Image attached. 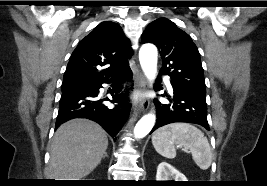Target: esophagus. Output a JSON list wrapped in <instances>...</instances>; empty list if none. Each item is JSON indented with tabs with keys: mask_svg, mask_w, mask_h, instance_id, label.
<instances>
[{
	"mask_svg": "<svg viewBox=\"0 0 267 186\" xmlns=\"http://www.w3.org/2000/svg\"><path fill=\"white\" fill-rule=\"evenodd\" d=\"M147 85L148 83L146 77L140 72L138 74L137 82L135 85L136 91L139 92L141 95L139 101L135 105V108L140 112L146 111L150 105V100L146 96Z\"/></svg>",
	"mask_w": 267,
	"mask_h": 186,
	"instance_id": "obj_1",
	"label": "esophagus"
}]
</instances>
